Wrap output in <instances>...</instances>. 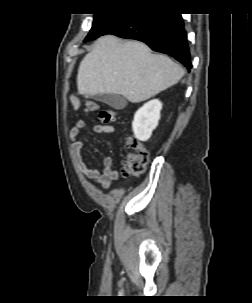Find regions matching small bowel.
<instances>
[{
  "instance_id": "1",
  "label": "small bowel",
  "mask_w": 252,
  "mask_h": 303,
  "mask_svg": "<svg viewBox=\"0 0 252 303\" xmlns=\"http://www.w3.org/2000/svg\"><path fill=\"white\" fill-rule=\"evenodd\" d=\"M86 120L80 119L70 130V137L72 139L71 151L79 169L95 184L100 185L102 188H108L113 181L117 180L119 173L116 169H113V159L110 156L103 158L102 171L90 167L83 159V149L85 143L79 139L80 131L85 127ZM93 131L96 133H113L115 131L112 125H94Z\"/></svg>"
}]
</instances>
